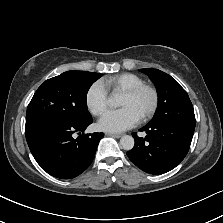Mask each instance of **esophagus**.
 <instances>
[{
    "instance_id": "esophagus-1",
    "label": "esophagus",
    "mask_w": 223,
    "mask_h": 223,
    "mask_svg": "<svg viewBox=\"0 0 223 223\" xmlns=\"http://www.w3.org/2000/svg\"><path fill=\"white\" fill-rule=\"evenodd\" d=\"M107 136L113 137V138H120V134H114V133H106Z\"/></svg>"
}]
</instances>
